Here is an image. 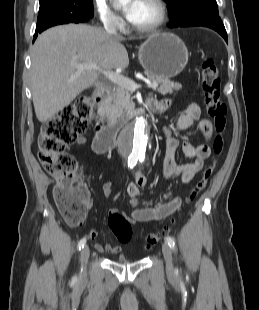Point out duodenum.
I'll return each instance as SVG.
<instances>
[{"instance_id": "duodenum-1", "label": "duodenum", "mask_w": 259, "mask_h": 310, "mask_svg": "<svg viewBox=\"0 0 259 310\" xmlns=\"http://www.w3.org/2000/svg\"><path fill=\"white\" fill-rule=\"evenodd\" d=\"M110 95V86H102L94 93V100L97 107V125L95 128L94 147L99 152H106L112 149L116 142V135L119 130L118 123L105 125V102ZM146 106L153 112H162L161 109L150 99L146 101ZM140 107L134 108L129 113L132 119L139 115Z\"/></svg>"}]
</instances>
